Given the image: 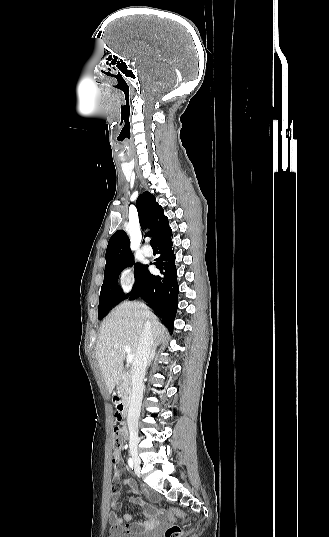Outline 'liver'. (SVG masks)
Segmentation results:
<instances>
[{"instance_id": "liver-1", "label": "liver", "mask_w": 329, "mask_h": 537, "mask_svg": "<svg viewBox=\"0 0 329 537\" xmlns=\"http://www.w3.org/2000/svg\"><path fill=\"white\" fill-rule=\"evenodd\" d=\"M147 320L150 321L153 338L158 339L165 327L142 303L124 302L102 322L96 358L109 394L122 377L126 353L124 346L129 345L131 354L136 355L139 338Z\"/></svg>"}]
</instances>
